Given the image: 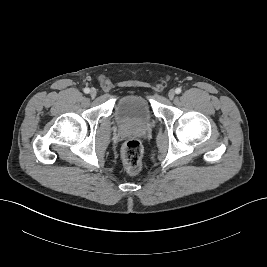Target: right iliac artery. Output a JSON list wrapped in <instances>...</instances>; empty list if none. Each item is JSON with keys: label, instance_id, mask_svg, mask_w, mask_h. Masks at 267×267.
<instances>
[{"label": "right iliac artery", "instance_id": "right-iliac-artery-1", "mask_svg": "<svg viewBox=\"0 0 267 267\" xmlns=\"http://www.w3.org/2000/svg\"><path fill=\"white\" fill-rule=\"evenodd\" d=\"M90 92V89L89 88H85L84 89V93L88 94Z\"/></svg>", "mask_w": 267, "mask_h": 267}]
</instances>
